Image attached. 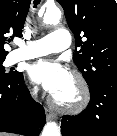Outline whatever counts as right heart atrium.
<instances>
[{"label": "right heart atrium", "instance_id": "obj_1", "mask_svg": "<svg viewBox=\"0 0 117 136\" xmlns=\"http://www.w3.org/2000/svg\"><path fill=\"white\" fill-rule=\"evenodd\" d=\"M30 93H31V95H34L36 93V88L32 87L31 90H30Z\"/></svg>", "mask_w": 117, "mask_h": 136}]
</instances>
